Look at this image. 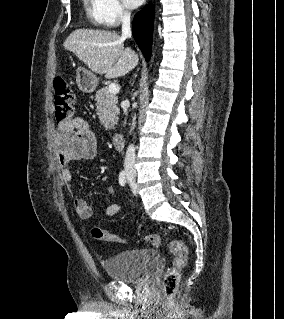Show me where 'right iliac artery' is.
<instances>
[{
    "mask_svg": "<svg viewBox=\"0 0 284 319\" xmlns=\"http://www.w3.org/2000/svg\"><path fill=\"white\" fill-rule=\"evenodd\" d=\"M119 184L121 186H125V184H126V176H125V172L124 171H121L120 174H119Z\"/></svg>",
    "mask_w": 284,
    "mask_h": 319,
    "instance_id": "right-iliac-artery-1",
    "label": "right iliac artery"
}]
</instances>
